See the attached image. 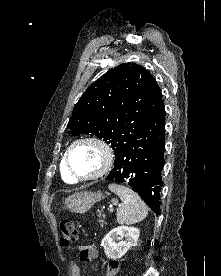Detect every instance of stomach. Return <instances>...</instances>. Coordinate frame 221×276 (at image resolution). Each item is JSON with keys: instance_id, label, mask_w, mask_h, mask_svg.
Returning <instances> with one entry per match:
<instances>
[{"instance_id": "0dacf381", "label": "stomach", "mask_w": 221, "mask_h": 276, "mask_svg": "<svg viewBox=\"0 0 221 276\" xmlns=\"http://www.w3.org/2000/svg\"><path fill=\"white\" fill-rule=\"evenodd\" d=\"M103 198L101 192H80L75 193L65 199V207L74 213H85L88 211L96 202Z\"/></svg>"}]
</instances>
